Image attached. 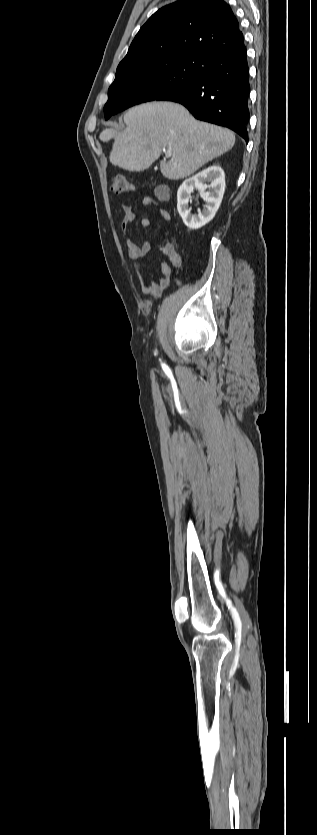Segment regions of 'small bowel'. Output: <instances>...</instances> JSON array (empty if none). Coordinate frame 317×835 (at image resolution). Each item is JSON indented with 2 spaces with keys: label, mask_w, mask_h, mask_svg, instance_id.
I'll return each instance as SVG.
<instances>
[{
  "label": "small bowel",
  "mask_w": 317,
  "mask_h": 835,
  "mask_svg": "<svg viewBox=\"0 0 317 835\" xmlns=\"http://www.w3.org/2000/svg\"><path fill=\"white\" fill-rule=\"evenodd\" d=\"M169 199V189L165 185H158L154 189V196H142V204L144 206L157 209L163 219L168 221L171 216L170 213L163 208L162 202H167ZM123 210L124 216L122 220V230L125 234H127L129 232V226L135 220V213L130 205H124ZM140 225L143 228H148L151 225V221L148 218H142ZM126 244L127 255L131 260L134 269L137 271L141 270L143 267L142 259L150 253L151 244L145 241L139 245L130 238L127 239ZM162 253L165 255L166 261L161 263L160 275L158 277H150L149 279H146L144 283L145 293L155 298L161 296V294L165 291L169 285L172 274L181 264V258L173 248H164L162 249Z\"/></svg>",
  "instance_id": "1"
}]
</instances>
